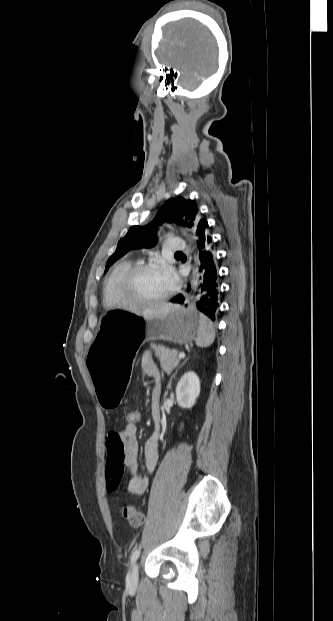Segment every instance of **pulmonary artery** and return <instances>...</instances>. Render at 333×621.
Instances as JSON below:
<instances>
[{
  "label": "pulmonary artery",
  "instance_id": "obj_1",
  "mask_svg": "<svg viewBox=\"0 0 333 621\" xmlns=\"http://www.w3.org/2000/svg\"><path fill=\"white\" fill-rule=\"evenodd\" d=\"M166 247L169 251L176 252L186 249L187 244L182 238L170 237L167 240Z\"/></svg>",
  "mask_w": 333,
  "mask_h": 621
}]
</instances>
